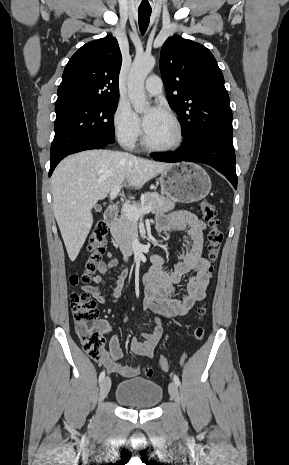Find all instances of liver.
<instances>
[{"instance_id":"1","label":"liver","mask_w":289,"mask_h":465,"mask_svg":"<svg viewBox=\"0 0 289 465\" xmlns=\"http://www.w3.org/2000/svg\"><path fill=\"white\" fill-rule=\"evenodd\" d=\"M172 166L128 153L87 150L63 159L51 178L53 211L68 256L74 261L93 224L92 208L116 186L140 189Z\"/></svg>"}]
</instances>
